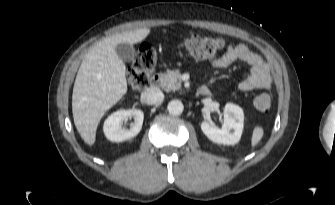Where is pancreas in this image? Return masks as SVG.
<instances>
[{
	"label": "pancreas",
	"instance_id": "1",
	"mask_svg": "<svg viewBox=\"0 0 335 205\" xmlns=\"http://www.w3.org/2000/svg\"><path fill=\"white\" fill-rule=\"evenodd\" d=\"M161 85L165 91H175L181 88V73L178 69L161 74Z\"/></svg>",
	"mask_w": 335,
	"mask_h": 205
}]
</instances>
